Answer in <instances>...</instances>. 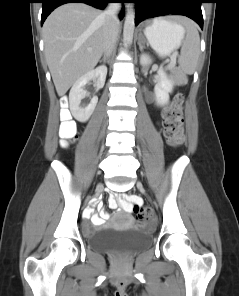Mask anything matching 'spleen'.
<instances>
[{
	"label": "spleen",
	"instance_id": "3e777b00",
	"mask_svg": "<svg viewBox=\"0 0 239 296\" xmlns=\"http://www.w3.org/2000/svg\"><path fill=\"white\" fill-rule=\"evenodd\" d=\"M199 51H200L199 33L195 26L188 25L186 27V37L183 42V46L181 49V56L179 59L180 67L186 74L191 75L194 73L198 56H199Z\"/></svg>",
	"mask_w": 239,
	"mask_h": 296
}]
</instances>
